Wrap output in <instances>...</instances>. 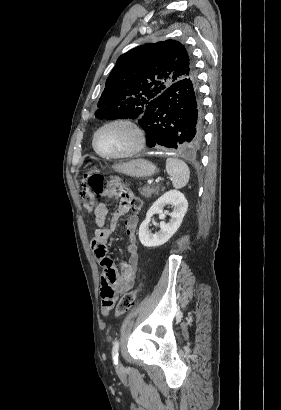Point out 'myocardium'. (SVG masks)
<instances>
[{
	"label": "myocardium",
	"mask_w": 281,
	"mask_h": 410,
	"mask_svg": "<svg viewBox=\"0 0 281 410\" xmlns=\"http://www.w3.org/2000/svg\"><path fill=\"white\" fill-rule=\"evenodd\" d=\"M116 125H122V126H126L130 128L135 135V139H136L135 144L131 149L121 154H117V155L104 154L97 147V143H96L97 136L103 129L107 127H111V126H116ZM145 144H146V135L142 127L138 123L133 121L132 119L124 118V117L115 118V119H112V120H109L103 123L95 130L92 136V147L94 151L97 153V155L107 160H116V159H124V158L131 157L139 153L140 151H142L143 148L145 147Z\"/></svg>",
	"instance_id": "obj_1"
}]
</instances>
